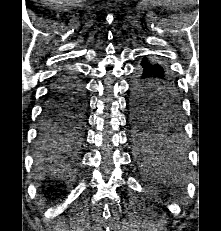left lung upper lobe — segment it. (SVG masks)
I'll return each instance as SVG.
<instances>
[{"mask_svg":"<svg viewBox=\"0 0 221 231\" xmlns=\"http://www.w3.org/2000/svg\"><path fill=\"white\" fill-rule=\"evenodd\" d=\"M151 69L158 72L159 76L155 84L159 87L141 89V100L148 101L149 98L157 95L167 101V105L160 108L148 105V102L133 101L131 103V123L134 127V138L137 142L142 143L155 135L161 134L165 129H171L180 119V98L176 83L173 80L169 70L160 64L149 63Z\"/></svg>","mask_w":221,"mask_h":231,"instance_id":"obj_1","label":"left lung upper lobe"}]
</instances>
